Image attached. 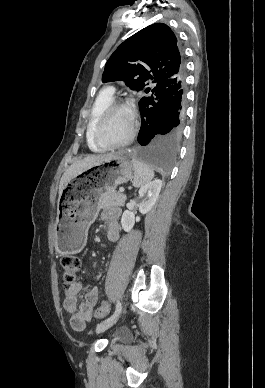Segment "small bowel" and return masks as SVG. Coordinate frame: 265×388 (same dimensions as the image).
<instances>
[{
  "instance_id": "1",
  "label": "small bowel",
  "mask_w": 265,
  "mask_h": 388,
  "mask_svg": "<svg viewBox=\"0 0 265 388\" xmlns=\"http://www.w3.org/2000/svg\"><path fill=\"white\" fill-rule=\"evenodd\" d=\"M119 217L120 211L117 208H107L101 213V218L107 222L106 238L109 242H116L119 239ZM98 275L92 276L89 281H94ZM84 289L83 282H75L65 291L63 307L71 315L70 324L76 331L85 328L88 321L92 319L93 310L98 303V291L95 287H89L80 302V294Z\"/></svg>"
}]
</instances>
